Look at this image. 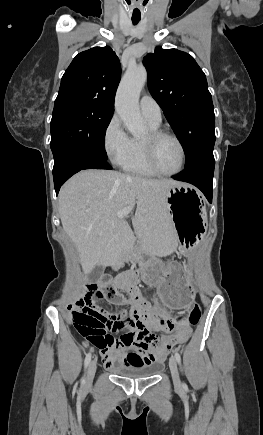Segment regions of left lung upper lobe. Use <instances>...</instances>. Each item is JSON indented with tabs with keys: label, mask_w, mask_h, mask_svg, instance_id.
<instances>
[{
	"label": "left lung upper lobe",
	"mask_w": 263,
	"mask_h": 435,
	"mask_svg": "<svg viewBox=\"0 0 263 435\" xmlns=\"http://www.w3.org/2000/svg\"><path fill=\"white\" fill-rule=\"evenodd\" d=\"M148 88L182 143L188 165L213 151L215 115L204 72L188 53L160 47L143 61Z\"/></svg>",
	"instance_id": "1"
}]
</instances>
